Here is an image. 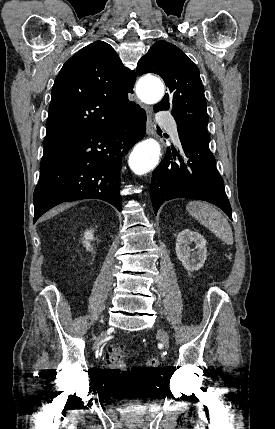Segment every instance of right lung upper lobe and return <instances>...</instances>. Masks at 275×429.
<instances>
[{"label": "right lung upper lobe", "mask_w": 275, "mask_h": 429, "mask_svg": "<svg viewBox=\"0 0 275 429\" xmlns=\"http://www.w3.org/2000/svg\"><path fill=\"white\" fill-rule=\"evenodd\" d=\"M136 80L114 49L103 41L82 48L55 79L44 147L82 132L118 122L131 112L128 100Z\"/></svg>", "instance_id": "obj_1"}]
</instances>
